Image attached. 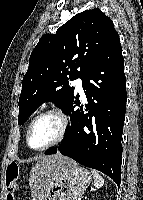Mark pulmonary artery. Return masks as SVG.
<instances>
[{"label": "pulmonary artery", "instance_id": "e3ab8cb5", "mask_svg": "<svg viewBox=\"0 0 143 200\" xmlns=\"http://www.w3.org/2000/svg\"><path fill=\"white\" fill-rule=\"evenodd\" d=\"M76 89L81 95H84V90H83V79L79 77L78 79L75 80L74 82Z\"/></svg>", "mask_w": 143, "mask_h": 200}]
</instances>
